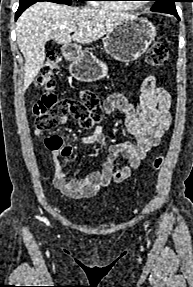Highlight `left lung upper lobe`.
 <instances>
[{
	"label": "left lung upper lobe",
	"instance_id": "5c2ea615",
	"mask_svg": "<svg viewBox=\"0 0 193 287\" xmlns=\"http://www.w3.org/2000/svg\"><path fill=\"white\" fill-rule=\"evenodd\" d=\"M155 1L154 5L152 6L151 10L154 12H164L169 13L172 11H176L175 2L178 0H153Z\"/></svg>",
	"mask_w": 193,
	"mask_h": 287
}]
</instances>
